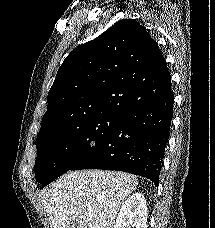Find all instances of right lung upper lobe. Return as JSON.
Masks as SVG:
<instances>
[{
    "instance_id": "right-lung-upper-lobe-1",
    "label": "right lung upper lobe",
    "mask_w": 215,
    "mask_h": 228,
    "mask_svg": "<svg viewBox=\"0 0 215 228\" xmlns=\"http://www.w3.org/2000/svg\"><path fill=\"white\" fill-rule=\"evenodd\" d=\"M158 44L132 19H123L75 48L48 93L41 131L100 114L124 116L169 90Z\"/></svg>"
}]
</instances>
